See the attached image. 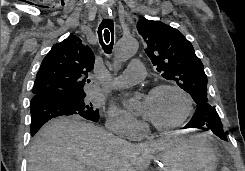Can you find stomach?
Segmentation results:
<instances>
[{
    "mask_svg": "<svg viewBox=\"0 0 245 171\" xmlns=\"http://www.w3.org/2000/svg\"><path fill=\"white\" fill-rule=\"evenodd\" d=\"M160 171H216L219 151L210 133L179 137L157 156Z\"/></svg>",
    "mask_w": 245,
    "mask_h": 171,
    "instance_id": "0dacf381",
    "label": "stomach"
}]
</instances>
